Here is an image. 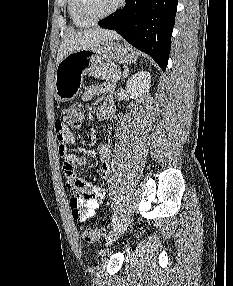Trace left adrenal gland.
<instances>
[{
    "instance_id": "left-adrenal-gland-1",
    "label": "left adrenal gland",
    "mask_w": 233,
    "mask_h": 286,
    "mask_svg": "<svg viewBox=\"0 0 233 286\" xmlns=\"http://www.w3.org/2000/svg\"><path fill=\"white\" fill-rule=\"evenodd\" d=\"M128 73H129V69L126 68L124 70L123 74L121 75V80H124L128 76Z\"/></svg>"
}]
</instances>
